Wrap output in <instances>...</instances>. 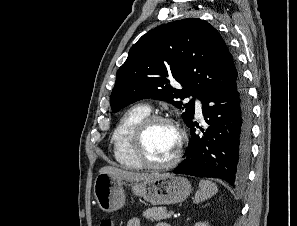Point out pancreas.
<instances>
[{"mask_svg": "<svg viewBox=\"0 0 297 226\" xmlns=\"http://www.w3.org/2000/svg\"><path fill=\"white\" fill-rule=\"evenodd\" d=\"M143 217L150 221H161L171 218V214L166 207H151L143 212Z\"/></svg>", "mask_w": 297, "mask_h": 226, "instance_id": "1", "label": "pancreas"}]
</instances>
